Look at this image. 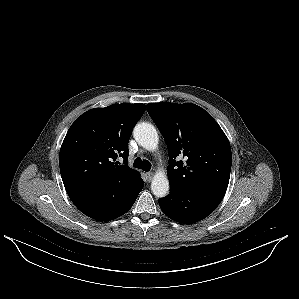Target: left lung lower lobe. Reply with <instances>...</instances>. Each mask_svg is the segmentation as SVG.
I'll use <instances>...</instances> for the list:
<instances>
[{"label":"left lung lower lobe","mask_w":299,"mask_h":299,"mask_svg":"<svg viewBox=\"0 0 299 299\" xmlns=\"http://www.w3.org/2000/svg\"><path fill=\"white\" fill-rule=\"evenodd\" d=\"M225 192L197 187L170 188V194L159 200L161 210L174 221L194 223L211 214Z\"/></svg>","instance_id":"left-lung-lower-lobe-1"}]
</instances>
